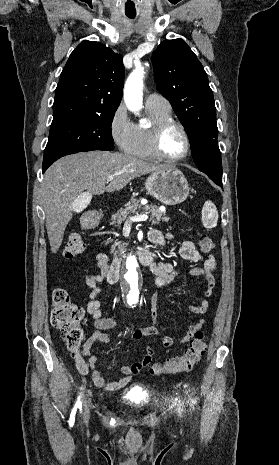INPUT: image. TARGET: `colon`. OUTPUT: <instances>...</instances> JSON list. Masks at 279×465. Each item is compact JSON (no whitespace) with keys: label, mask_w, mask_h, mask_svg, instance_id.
I'll list each match as a JSON object with an SVG mask.
<instances>
[{"label":"colon","mask_w":279,"mask_h":465,"mask_svg":"<svg viewBox=\"0 0 279 465\" xmlns=\"http://www.w3.org/2000/svg\"><path fill=\"white\" fill-rule=\"evenodd\" d=\"M198 245L204 252L214 248V241L206 233L198 235ZM85 251V243L78 234H71L64 247L63 255L66 259H73L82 255ZM83 309L74 304L69 293L64 289H56L52 294L51 324L63 333V340L72 355L79 353L84 339L82 322ZM206 352V335L203 331H197L189 347L185 352L168 359L164 363H155L149 367L152 376L161 374H173L190 371Z\"/></svg>","instance_id":"obj_1"}]
</instances>
